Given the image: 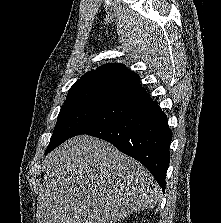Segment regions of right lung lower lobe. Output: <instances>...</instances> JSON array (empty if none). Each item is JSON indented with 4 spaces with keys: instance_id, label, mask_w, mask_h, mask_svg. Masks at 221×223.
<instances>
[{
    "instance_id": "right-lung-lower-lobe-1",
    "label": "right lung lower lobe",
    "mask_w": 221,
    "mask_h": 223,
    "mask_svg": "<svg viewBox=\"0 0 221 223\" xmlns=\"http://www.w3.org/2000/svg\"><path fill=\"white\" fill-rule=\"evenodd\" d=\"M84 134L106 140L140 161L165 190L172 132L165 113L156 101L137 106L116 120Z\"/></svg>"
}]
</instances>
